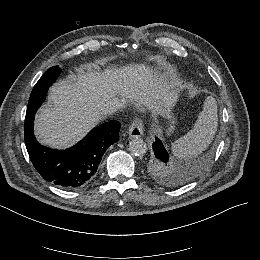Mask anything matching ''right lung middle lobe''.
Listing matches in <instances>:
<instances>
[{
    "mask_svg": "<svg viewBox=\"0 0 260 260\" xmlns=\"http://www.w3.org/2000/svg\"><path fill=\"white\" fill-rule=\"evenodd\" d=\"M60 72L61 69L57 68L56 66H53L49 68L40 78L30 95L26 117L35 114L36 110L44 101L49 86L56 80Z\"/></svg>",
    "mask_w": 260,
    "mask_h": 260,
    "instance_id": "obj_1",
    "label": "right lung middle lobe"
}]
</instances>
